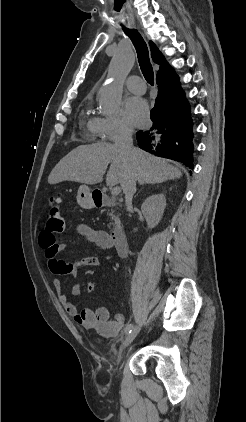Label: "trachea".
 I'll list each match as a JSON object with an SVG mask.
<instances>
[{
    "label": "trachea",
    "instance_id": "obj_1",
    "mask_svg": "<svg viewBox=\"0 0 246 422\" xmlns=\"http://www.w3.org/2000/svg\"><path fill=\"white\" fill-rule=\"evenodd\" d=\"M123 31L131 39L136 49L139 66L146 81L149 84L154 85V72L150 63L149 51L146 42L144 41L141 34L135 29L123 28Z\"/></svg>",
    "mask_w": 246,
    "mask_h": 422
}]
</instances>
